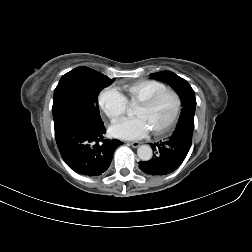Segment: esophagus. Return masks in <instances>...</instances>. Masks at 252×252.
Returning <instances> with one entry per match:
<instances>
[{
    "label": "esophagus",
    "instance_id": "34e87169",
    "mask_svg": "<svg viewBox=\"0 0 252 252\" xmlns=\"http://www.w3.org/2000/svg\"><path fill=\"white\" fill-rule=\"evenodd\" d=\"M129 145L132 146L133 148H137L140 146V142H130Z\"/></svg>",
    "mask_w": 252,
    "mask_h": 252
}]
</instances>
